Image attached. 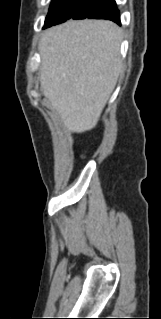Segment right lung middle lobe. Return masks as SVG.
<instances>
[{
	"label": "right lung middle lobe",
	"instance_id": "obj_1",
	"mask_svg": "<svg viewBox=\"0 0 161 319\" xmlns=\"http://www.w3.org/2000/svg\"><path fill=\"white\" fill-rule=\"evenodd\" d=\"M101 0H53L43 29L63 23L68 19H85Z\"/></svg>",
	"mask_w": 161,
	"mask_h": 319
}]
</instances>
